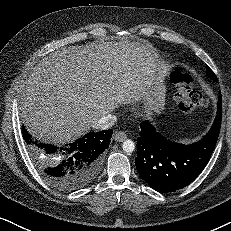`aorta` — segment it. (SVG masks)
<instances>
[{
    "instance_id": "1",
    "label": "aorta",
    "mask_w": 231,
    "mask_h": 231,
    "mask_svg": "<svg viewBox=\"0 0 231 231\" xmlns=\"http://www.w3.org/2000/svg\"><path fill=\"white\" fill-rule=\"evenodd\" d=\"M122 149L126 153H132L135 150V143L132 140H125L122 143Z\"/></svg>"
}]
</instances>
